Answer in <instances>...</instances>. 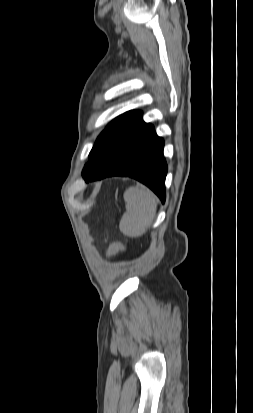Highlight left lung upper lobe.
<instances>
[{
    "instance_id": "left-lung-upper-lobe-1",
    "label": "left lung upper lobe",
    "mask_w": 253,
    "mask_h": 413,
    "mask_svg": "<svg viewBox=\"0 0 253 413\" xmlns=\"http://www.w3.org/2000/svg\"><path fill=\"white\" fill-rule=\"evenodd\" d=\"M141 115L140 111H129L114 119L105 130L98 136L90 154L89 161L85 165L82 175L87 176L95 173L111 156L122 135L121 125Z\"/></svg>"
}]
</instances>
